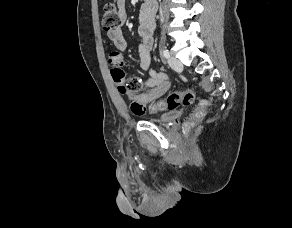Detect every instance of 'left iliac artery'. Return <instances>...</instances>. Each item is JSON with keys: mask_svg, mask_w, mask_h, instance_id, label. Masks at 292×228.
Instances as JSON below:
<instances>
[{"mask_svg": "<svg viewBox=\"0 0 292 228\" xmlns=\"http://www.w3.org/2000/svg\"><path fill=\"white\" fill-rule=\"evenodd\" d=\"M162 54L165 58H169L170 57V52L167 49H163Z\"/></svg>", "mask_w": 292, "mask_h": 228, "instance_id": "1", "label": "left iliac artery"}]
</instances>
